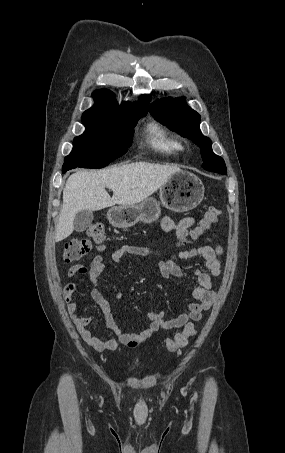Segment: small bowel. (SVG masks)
<instances>
[{"mask_svg": "<svg viewBox=\"0 0 285 453\" xmlns=\"http://www.w3.org/2000/svg\"><path fill=\"white\" fill-rule=\"evenodd\" d=\"M194 223L195 219L193 217H185L179 221H176L169 216L162 219L161 225L164 231L174 232L183 245L192 246V248L182 251L177 256H173L167 260H161L159 262V271L164 279H169L171 277L181 278L184 276V271L176 262L177 258L190 259L202 257L204 259V267L196 268L192 271L195 278L192 283V296L196 302L189 304L187 312H183L171 319L166 318L164 311L149 312L148 318L150 323L147 328L140 332H125L122 330L113 317V310L115 308L114 302L108 300L103 292L98 289V280L104 270V258L101 255L95 256L90 266L74 265L68 269V277L88 275L92 285L91 296L104 314L107 327L116 336V338H102L89 329L88 326L91 323L92 318L78 314L77 302L73 300V296L77 291V284L75 282H70L63 288V299L67 304L69 314L81 338L90 347L99 352L115 351L121 346L135 348L159 330L180 328L189 324L190 321L200 320L203 312L207 311L212 306L215 300L212 279L220 274L221 264L219 256L222 253V249L220 246L212 245L211 237H208L203 244L193 246L194 242L189 234V229ZM151 253L152 251L145 247L126 245L116 249L112 253L111 258L113 261L119 262L124 255L145 256ZM122 296L123 294L118 292L115 295V299L120 300Z\"/></svg>", "mask_w": 285, "mask_h": 453, "instance_id": "1", "label": "small bowel"}]
</instances>
